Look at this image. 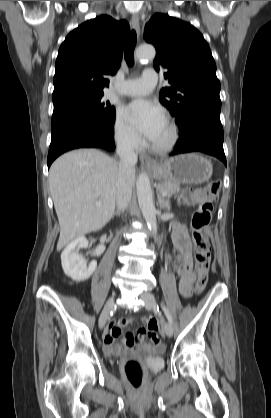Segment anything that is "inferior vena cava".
<instances>
[{
    "mask_svg": "<svg viewBox=\"0 0 271 418\" xmlns=\"http://www.w3.org/2000/svg\"><path fill=\"white\" fill-rule=\"evenodd\" d=\"M120 157L119 174L116 184V203L118 211H124L131 200L132 185L131 176L137 163V155L134 152L133 144L127 142L117 147Z\"/></svg>",
    "mask_w": 271,
    "mask_h": 418,
    "instance_id": "obj_1",
    "label": "inferior vena cava"
}]
</instances>
